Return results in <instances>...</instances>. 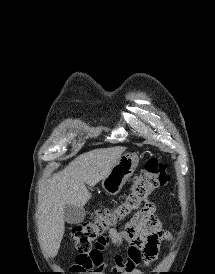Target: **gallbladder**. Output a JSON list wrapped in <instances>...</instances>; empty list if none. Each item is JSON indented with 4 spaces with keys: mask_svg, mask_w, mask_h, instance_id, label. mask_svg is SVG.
I'll return each mask as SVG.
<instances>
[{
    "mask_svg": "<svg viewBox=\"0 0 215 274\" xmlns=\"http://www.w3.org/2000/svg\"><path fill=\"white\" fill-rule=\"evenodd\" d=\"M86 212L83 207H76L73 205H66L63 210L65 222L69 224L81 223L85 218Z\"/></svg>",
    "mask_w": 215,
    "mask_h": 274,
    "instance_id": "bac80fb5",
    "label": "gallbladder"
}]
</instances>
